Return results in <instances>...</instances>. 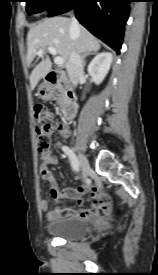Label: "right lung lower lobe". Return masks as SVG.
Instances as JSON below:
<instances>
[{
  "label": "right lung lower lobe",
  "instance_id": "1",
  "mask_svg": "<svg viewBox=\"0 0 158 275\" xmlns=\"http://www.w3.org/2000/svg\"><path fill=\"white\" fill-rule=\"evenodd\" d=\"M130 1L64 0L48 16L60 15L74 8L79 22L119 54Z\"/></svg>",
  "mask_w": 158,
  "mask_h": 275
}]
</instances>
